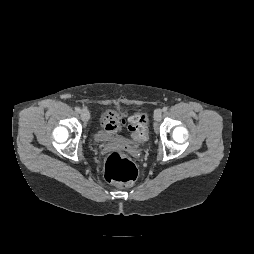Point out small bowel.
I'll use <instances>...</instances> for the list:
<instances>
[{"label": "small bowel", "mask_w": 254, "mask_h": 254, "mask_svg": "<svg viewBox=\"0 0 254 254\" xmlns=\"http://www.w3.org/2000/svg\"><path fill=\"white\" fill-rule=\"evenodd\" d=\"M132 116L117 110H107L101 118V126L108 134L120 132Z\"/></svg>", "instance_id": "1"}]
</instances>
